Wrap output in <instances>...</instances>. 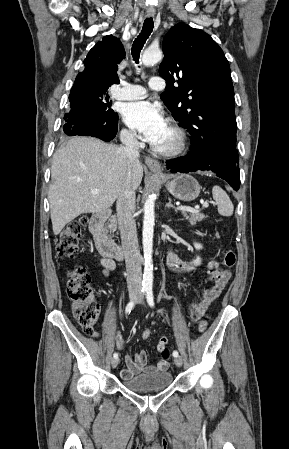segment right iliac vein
<instances>
[{
  "label": "right iliac vein",
  "instance_id": "1",
  "mask_svg": "<svg viewBox=\"0 0 289 449\" xmlns=\"http://www.w3.org/2000/svg\"><path fill=\"white\" fill-rule=\"evenodd\" d=\"M135 298H136V294L134 292L130 293V299L134 300ZM118 363H119V359L118 358L117 359L114 358L111 361V365H112L113 368H116L118 366Z\"/></svg>",
  "mask_w": 289,
  "mask_h": 449
}]
</instances>
